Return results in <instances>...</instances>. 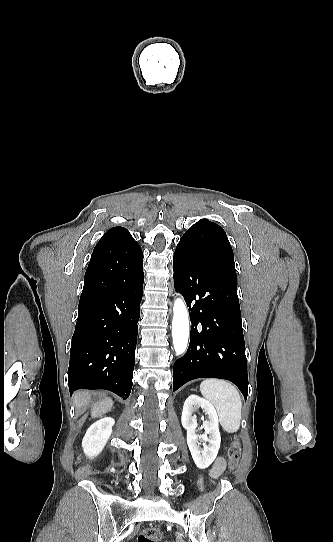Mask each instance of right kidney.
Listing matches in <instances>:
<instances>
[{
    "instance_id": "right-kidney-1",
    "label": "right kidney",
    "mask_w": 333,
    "mask_h": 542,
    "mask_svg": "<svg viewBox=\"0 0 333 542\" xmlns=\"http://www.w3.org/2000/svg\"><path fill=\"white\" fill-rule=\"evenodd\" d=\"M114 424L113 418H102L88 428L82 440V448L88 458L98 456L102 452L112 434Z\"/></svg>"
}]
</instances>
